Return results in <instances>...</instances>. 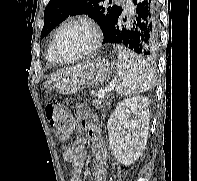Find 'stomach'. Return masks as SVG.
Returning a JSON list of instances; mask_svg holds the SVG:
<instances>
[{"label":"stomach","mask_w":197,"mask_h":181,"mask_svg":"<svg viewBox=\"0 0 197 181\" xmlns=\"http://www.w3.org/2000/svg\"><path fill=\"white\" fill-rule=\"evenodd\" d=\"M114 69L111 61L100 57L85 63L80 69L59 79L55 88L61 94H74L84 88L104 83L110 78Z\"/></svg>","instance_id":"stomach-1"}]
</instances>
